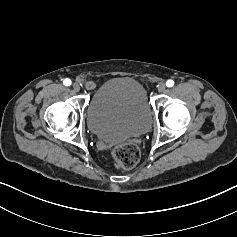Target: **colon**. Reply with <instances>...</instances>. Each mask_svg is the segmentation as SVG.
<instances>
[{"label": "colon", "instance_id": "1", "mask_svg": "<svg viewBox=\"0 0 237 237\" xmlns=\"http://www.w3.org/2000/svg\"><path fill=\"white\" fill-rule=\"evenodd\" d=\"M111 157L117 167L131 169L140 160V151L135 144L124 143L111 149Z\"/></svg>", "mask_w": 237, "mask_h": 237}]
</instances>
